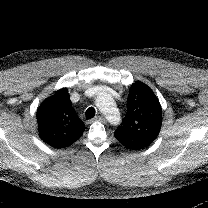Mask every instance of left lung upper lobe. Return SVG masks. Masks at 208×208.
<instances>
[{
    "instance_id": "obj_1",
    "label": "left lung upper lobe",
    "mask_w": 208,
    "mask_h": 208,
    "mask_svg": "<svg viewBox=\"0 0 208 208\" xmlns=\"http://www.w3.org/2000/svg\"><path fill=\"white\" fill-rule=\"evenodd\" d=\"M162 109L153 91L142 82L131 85L127 113L115 138L126 148L140 150L151 144L160 132Z\"/></svg>"
}]
</instances>
